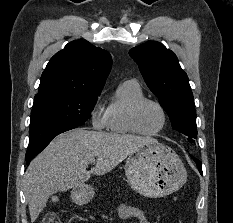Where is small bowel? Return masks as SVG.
<instances>
[{
	"mask_svg": "<svg viewBox=\"0 0 233 223\" xmlns=\"http://www.w3.org/2000/svg\"><path fill=\"white\" fill-rule=\"evenodd\" d=\"M118 218L122 220L135 219L137 223H155L147 218L144 212L135 206L121 203L117 209Z\"/></svg>",
	"mask_w": 233,
	"mask_h": 223,
	"instance_id": "c3829d8e",
	"label": "small bowel"
}]
</instances>
